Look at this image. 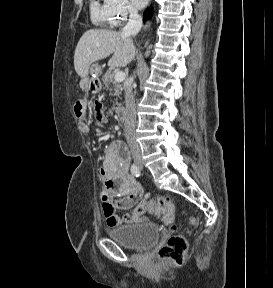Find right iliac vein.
<instances>
[{
	"mask_svg": "<svg viewBox=\"0 0 273 288\" xmlns=\"http://www.w3.org/2000/svg\"><path fill=\"white\" fill-rule=\"evenodd\" d=\"M136 163L138 164V165H141L142 164V160L140 159V158H136Z\"/></svg>",
	"mask_w": 273,
	"mask_h": 288,
	"instance_id": "right-iliac-vein-1",
	"label": "right iliac vein"
}]
</instances>
